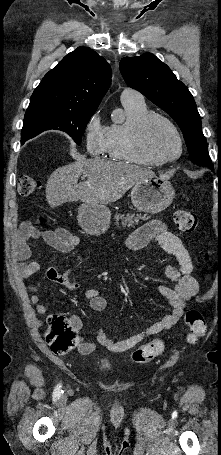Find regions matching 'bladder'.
Masks as SVG:
<instances>
[{"mask_svg":"<svg viewBox=\"0 0 221 455\" xmlns=\"http://www.w3.org/2000/svg\"><path fill=\"white\" fill-rule=\"evenodd\" d=\"M111 368V364L107 360H102L98 364V369L100 371L106 372Z\"/></svg>","mask_w":221,"mask_h":455,"instance_id":"bladder-1","label":"bladder"}]
</instances>
